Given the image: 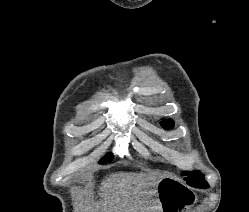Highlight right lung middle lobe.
<instances>
[{"mask_svg": "<svg viewBox=\"0 0 249 212\" xmlns=\"http://www.w3.org/2000/svg\"><path fill=\"white\" fill-rule=\"evenodd\" d=\"M113 158V155L111 153H108L106 156H104L100 161L99 163L100 164H104V163H107V162H110Z\"/></svg>", "mask_w": 249, "mask_h": 212, "instance_id": "1", "label": "right lung middle lobe"}]
</instances>
